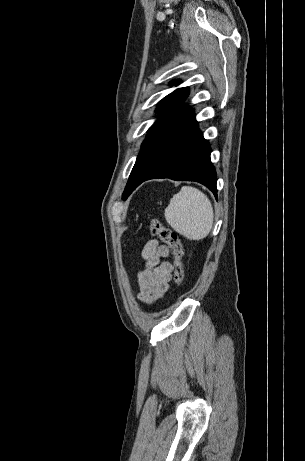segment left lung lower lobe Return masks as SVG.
Masks as SVG:
<instances>
[{
    "label": "left lung lower lobe",
    "instance_id": "left-lung-lower-lobe-1",
    "mask_svg": "<svg viewBox=\"0 0 305 461\" xmlns=\"http://www.w3.org/2000/svg\"><path fill=\"white\" fill-rule=\"evenodd\" d=\"M152 160L136 183L154 178L189 180L204 184L217 197L216 172L210 160V145L198 129L193 110L180 107L155 133Z\"/></svg>",
    "mask_w": 305,
    "mask_h": 461
}]
</instances>
